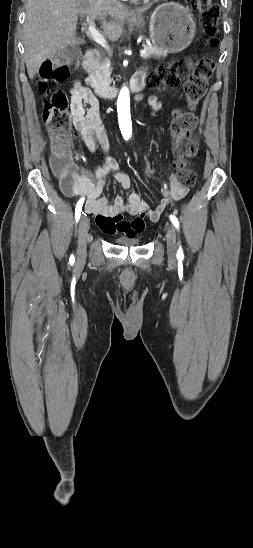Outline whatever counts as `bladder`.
Segmentation results:
<instances>
[{"instance_id":"obj_1","label":"bladder","mask_w":253,"mask_h":548,"mask_svg":"<svg viewBox=\"0 0 253 548\" xmlns=\"http://www.w3.org/2000/svg\"><path fill=\"white\" fill-rule=\"evenodd\" d=\"M116 242L127 246H137L141 243V240L136 236H119L116 238Z\"/></svg>"}]
</instances>
